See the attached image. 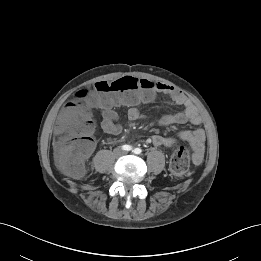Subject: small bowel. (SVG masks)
<instances>
[{"instance_id": "c3829d8e", "label": "small bowel", "mask_w": 261, "mask_h": 261, "mask_svg": "<svg viewBox=\"0 0 261 261\" xmlns=\"http://www.w3.org/2000/svg\"><path fill=\"white\" fill-rule=\"evenodd\" d=\"M154 92L163 94L169 98V105L172 107H182L183 109L179 112H171L164 114L158 120V123L163 126H170L173 124L191 123L196 126L193 130H181L177 133L176 138L164 137L161 135H153L151 142L155 146L171 147L175 145L178 140L188 142L193 150V162L194 164H200L203 160L205 153V140L206 134L202 128L203 118L200 115L196 106L177 88L166 85L163 83H157ZM140 100L134 103H118L112 99L107 102H101L102 110V122L101 128L104 132L111 135H117L121 132V125L119 124V115L115 111L116 106L126 105L128 106L127 118L130 121H139L144 118L141 113V106L143 103L150 101ZM75 111L85 120L84 131L88 136H91L94 132V124L90 113L84 108L80 107L76 101L68 103L62 112L56 130L60 135V132L67 124L66 112ZM95 149V143L90 142L88 151L84 158L89 157Z\"/></svg>"}]
</instances>
